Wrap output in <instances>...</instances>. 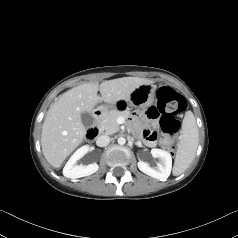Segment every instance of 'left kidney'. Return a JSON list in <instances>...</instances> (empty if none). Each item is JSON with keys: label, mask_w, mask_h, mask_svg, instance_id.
Instances as JSON below:
<instances>
[{"label": "left kidney", "mask_w": 238, "mask_h": 238, "mask_svg": "<svg viewBox=\"0 0 238 238\" xmlns=\"http://www.w3.org/2000/svg\"><path fill=\"white\" fill-rule=\"evenodd\" d=\"M151 154L154 158L159 159L157 166L151 167L147 162L140 161L138 162L139 170L161 181L166 180L169 177L172 169L171 154L165 150L156 148L151 150Z\"/></svg>", "instance_id": "1"}]
</instances>
